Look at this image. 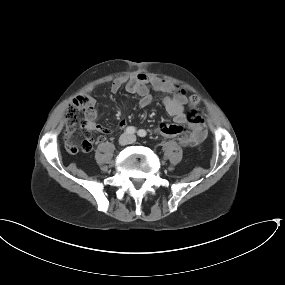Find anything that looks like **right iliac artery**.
<instances>
[{
	"instance_id": "right-iliac-artery-1",
	"label": "right iliac artery",
	"mask_w": 285,
	"mask_h": 285,
	"mask_svg": "<svg viewBox=\"0 0 285 285\" xmlns=\"http://www.w3.org/2000/svg\"><path fill=\"white\" fill-rule=\"evenodd\" d=\"M125 132H126L127 134H134V133L136 132V129H135V127H133V126H129V127H127V128L125 129Z\"/></svg>"
}]
</instances>
